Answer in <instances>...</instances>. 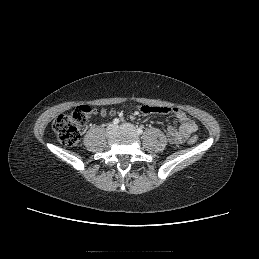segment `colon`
<instances>
[{
	"label": "colon",
	"instance_id": "5ec220e1",
	"mask_svg": "<svg viewBox=\"0 0 259 259\" xmlns=\"http://www.w3.org/2000/svg\"><path fill=\"white\" fill-rule=\"evenodd\" d=\"M105 115L104 110H93L91 107L82 105L74 108L72 111L59 115L53 124V128L59 141L66 146H73L78 143L81 137V131L89 120L92 113ZM198 140L196 135L188 138L189 144H195Z\"/></svg>",
	"mask_w": 259,
	"mask_h": 259
}]
</instances>
